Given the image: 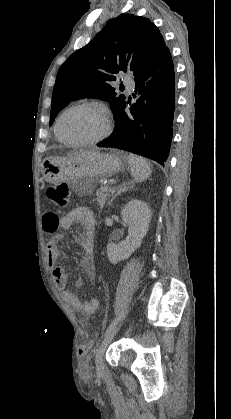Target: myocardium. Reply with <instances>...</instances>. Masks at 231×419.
I'll return each mask as SVG.
<instances>
[{
  "label": "myocardium",
  "instance_id": "f54148a6",
  "mask_svg": "<svg viewBox=\"0 0 231 419\" xmlns=\"http://www.w3.org/2000/svg\"><path fill=\"white\" fill-rule=\"evenodd\" d=\"M76 109H89V110H94V111H97V112L101 113L104 117V120H105L104 130L99 135H97L96 137H93V138H90V139L75 140V139H70V138L66 137L61 131V122H62L63 118L69 112L74 111ZM111 125H112L111 124V117H110V114H109V112L107 111L106 108H104L101 105L94 104V103H81V104H76V105H73V106L67 108L66 110H64L60 114V116L58 117L57 122H56V132H57V135L59 136V138L67 144H71V145H91V144H96V143L102 141L103 139H105L111 131Z\"/></svg>",
  "mask_w": 231,
  "mask_h": 419
}]
</instances>
